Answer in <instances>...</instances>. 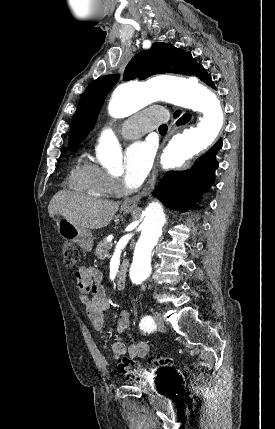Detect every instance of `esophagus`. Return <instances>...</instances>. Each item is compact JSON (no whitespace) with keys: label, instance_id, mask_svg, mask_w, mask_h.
I'll return each instance as SVG.
<instances>
[{"label":"esophagus","instance_id":"34e87169","mask_svg":"<svg viewBox=\"0 0 275 429\" xmlns=\"http://www.w3.org/2000/svg\"><path fill=\"white\" fill-rule=\"evenodd\" d=\"M175 130H176V126H175V122L173 121L169 127L167 138L163 141L161 148H163V146L165 145V142L174 133ZM156 176H157V164L155 165V167H154V169H153V171H152V173L148 179V182H147L146 186L143 188V190L141 192H139L138 194H136L130 198H127L123 202V206L124 207H130V208L137 207L141 198L146 196L147 194H149L150 191L153 189L155 182H156Z\"/></svg>","mask_w":275,"mask_h":429}]
</instances>
